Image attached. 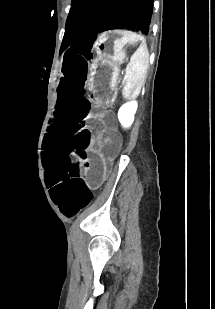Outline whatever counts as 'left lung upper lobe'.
<instances>
[{"instance_id":"left-lung-upper-lobe-1","label":"left lung upper lobe","mask_w":215,"mask_h":309,"mask_svg":"<svg viewBox=\"0 0 215 309\" xmlns=\"http://www.w3.org/2000/svg\"><path fill=\"white\" fill-rule=\"evenodd\" d=\"M153 0H72L61 51L93 34L115 28L150 30Z\"/></svg>"}]
</instances>
